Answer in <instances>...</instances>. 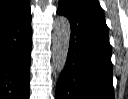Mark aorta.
<instances>
[{
  "mask_svg": "<svg viewBox=\"0 0 128 99\" xmlns=\"http://www.w3.org/2000/svg\"><path fill=\"white\" fill-rule=\"evenodd\" d=\"M71 27L65 16H58L53 31L52 62L57 74H60L67 60Z\"/></svg>",
  "mask_w": 128,
  "mask_h": 99,
  "instance_id": "1",
  "label": "aorta"
}]
</instances>
